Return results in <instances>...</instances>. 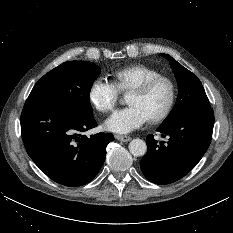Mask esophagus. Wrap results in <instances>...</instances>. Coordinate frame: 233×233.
<instances>
[{
	"instance_id": "obj_1",
	"label": "esophagus",
	"mask_w": 233,
	"mask_h": 233,
	"mask_svg": "<svg viewBox=\"0 0 233 233\" xmlns=\"http://www.w3.org/2000/svg\"><path fill=\"white\" fill-rule=\"evenodd\" d=\"M115 138L119 141H122V142H128L131 140V137L129 136H124V135H115Z\"/></svg>"
}]
</instances>
